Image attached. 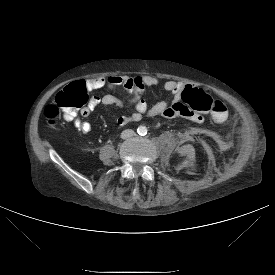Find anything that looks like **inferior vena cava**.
Returning a JSON list of instances; mask_svg holds the SVG:
<instances>
[{"instance_id":"inferior-vena-cava-1","label":"inferior vena cava","mask_w":275,"mask_h":275,"mask_svg":"<svg viewBox=\"0 0 275 275\" xmlns=\"http://www.w3.org/2000/svg\"><path fill=\"white\" fill-rule=\"evenodd\" d=\"M134 135V131L131 130V129H126L124 131H122L121 133V138L122 139H127V138H130Z\"/></svg>"}]
</instances>
